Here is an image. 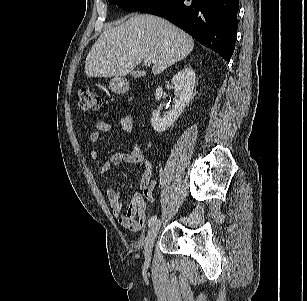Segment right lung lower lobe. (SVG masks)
Instances as JSON below:
<instances>
[{
	"mask_svg": "<svg viewBox=\"0 0 307 301\" xmlns=\"http://www.w3.org/2000/svg\"><path fill=\"white\" fill-rule=\"evenodd\" d=\"M238 10L239 0H157L140 11L166 18L229 62Z\"/></svg>",
	"mask_w": 307,
	"mask_h": 301,
	"instance_id": "right-lung-lower-lobe-1",
	"label": "right lung lower lobe"
}]
</instances>
